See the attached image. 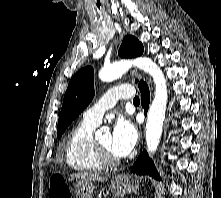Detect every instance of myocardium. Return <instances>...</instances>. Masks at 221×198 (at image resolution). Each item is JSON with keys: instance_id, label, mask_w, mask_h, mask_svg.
<instances>
[{"instance_id": "obj_1", "label": "myocardium", "mask_w": 221, "mask_h": 198, "mask_svg": "<svg viewBox=\"0 0 221 198\" xmlns=\"http://www.w3.org/2000/svg\"><path fill=\"white\" fill-rule=\"evenodd\" d=\"M98 158L104 166L112 167L120 163V159L104 148L98 140L93 139Z\"/></svg>"}]
</instances>
